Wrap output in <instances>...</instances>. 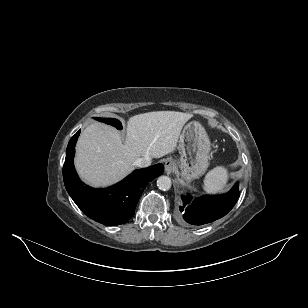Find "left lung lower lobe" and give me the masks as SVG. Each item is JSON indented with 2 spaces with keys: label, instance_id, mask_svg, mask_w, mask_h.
<instances>
[{
  "label": "left lung lower lobe",
  "instance_id": "1",
  "mask_svg": "<svg viewBox=\"0 0 308 308\" xmlns=\"http://www.w3.org/2000/svg\"><path fill=\"white\" fill-rule=\"evenodd\" d=\"M238 189L239 185L236 183L226 195L202 196L192 202L190 196H182L183 206H180L179 209L183 219L192 225H203L225 216L239 198Z\"/></svg>",
  "mask_w": 308,
  "mask_h": 308
}]
</instances>
